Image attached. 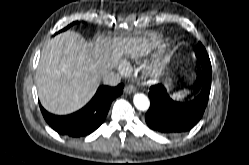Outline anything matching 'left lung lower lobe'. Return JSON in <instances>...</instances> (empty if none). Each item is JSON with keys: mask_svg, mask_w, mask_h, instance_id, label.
<instances>
[{"mask_svg": "<svg viewBox=\"0 0 249 165\" xmlns=\"http://www.w3.org/2000/svg\"><path fill=\"white\" fill-rule=\"evenodd\" d=\"M211 70V66H201L198 75L200 91L189 100H174L161 85L152 86L149 92L150 108L145 115L149 128L171 136L190 131L205 111L211 88Z\"/></svg>", "mask_w": 249, "mask_h": 165, "instance_id": "1", "label": "left lung lower lobe"}]
</instances>
